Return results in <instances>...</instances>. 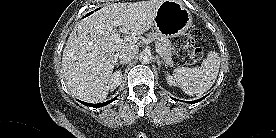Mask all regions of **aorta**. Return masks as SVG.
<instances>
[{
	"label": "aorta",
	"mask_w": 276,
	"mask_h": 138,
	"mask_svg": "<svg viewBox=\"0 0 276 138\" xmlns=\"http://www.w3.org/2000/svg\"><path fill=\"white\" fill-rule=\"evenodd\" d=\"M152 60V55L150 51H143L139 55V61L142 64H149Z\"/></svg>",
	"instance_id": "1"
}]
</instances>
